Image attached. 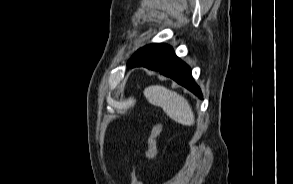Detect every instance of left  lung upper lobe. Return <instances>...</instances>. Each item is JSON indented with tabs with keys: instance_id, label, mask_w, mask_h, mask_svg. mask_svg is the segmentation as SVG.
Returning a JSON list of instances; mask_svg holds the SVG:
<instances>
[{
	"instance_id": "left-lung-upper-lobe-1",
	"label": "left lung upper lobe",
	"mask_w": 293,
	"mask_h": 184,
	"mask_svg": "<svg viewBox=\"0 0 293 184\" xmlns=\"http://www.w3.org/2000/svg\"><path fill=\"white\" fill-rule=\"evenodd\" d=\"M147 46L139 49L128 61L127 66L130 67L136 63H138L141 60H144L146 57H148L147 53Z\"/></svg>"
}]
</instances>
